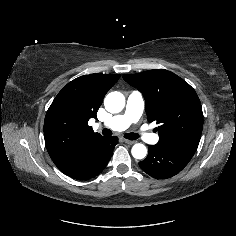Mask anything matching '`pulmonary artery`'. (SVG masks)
I'll use <instances>...</instances> for the list:
<instances>
[{
  "instance_id": "pulmonary-artery-1",
  "label": "pulmonary artery",
  "mask_w": 236,
  "mask_h": 236,
  "mask_svg": "<svg viewBox=\"0 0 236 236\" xmlns=\"http://www.w3.org/2000/svg\"><path fill=\"white\" fill-rule=\"evenodd\" d=\"M143 108L144 100L142 94L138 91H133L128 96L124 112L102 123L101 126L114 131H123L139 120ZM138 135L144 142L149 144H156L159 141V136L157 134L138 131Z\"/></svg>"
}]
</instances>
